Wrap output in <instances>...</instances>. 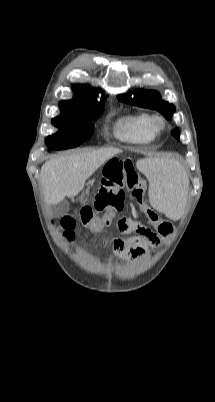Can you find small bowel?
Returning <instances> with one entry per match:
<instances>
[{"label":"small bowel","instance_id":"1","mask_svg":"<svg viewBox=\"0 0 215 402\" xmlns=\"http://www.w3.org/2000/svg\"><path fill=\"white\" fill-rule=\"evenodd\" d=\"M123 233L136 232L138 236L128 239H113L107 242L111 250L126 260H135L146 255L151 248L160 244V237L139 221L133 228L121 230Z\"/></svg>","mask_w":215,"mask_h":402}]
</instances>
